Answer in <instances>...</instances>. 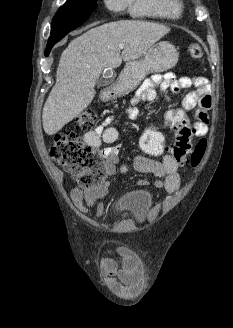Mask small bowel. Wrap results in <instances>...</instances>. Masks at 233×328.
I'll return each instance as SVG.
<instances>
[{"label": "small bowel", "instance_id": "c3829d8e", "mask_svg": "<svg viewBox=\"0 0 233 328\" xmlns=\"http://www.w3.org/2000/svg\"><path fill=\"white\" fill-rule=\"evenodd\" d=\"M195 87L183 99L185 110L196 108L195 119L192 123L193 134L202 137L208 132V110L212 106L210 85L202 76L176 77L174 73L156 74L147 79L137 90L131 100L132 106L126 110L128 117L137 120L140 112L136 107L142 102H151L157 97V90H170L177 93L182 89ZM113 117H106L101 124L84 135V141L91 147L98 149L102 143L109 145L102 150L105 158V171L107 175L115 173L118 162L119 146L114 145L118 139V131L112 124ZM134 167L142 173L152 174L158 179L154 182L156 188L165 189L168 193H175L180 186L179 164L170 154H165L161 161L151 159L146 155L135 158ZM121 172H126V167L121 166ZM140 186L148 185V181L139 180ZM108 182L94 187L81 189L75 187L70 196L74 205L82 212H89L96 208L97 215L103 213L102 199L108 191ZM105 273V284L115 294L123 298H131L138 295L143 286V270L139 258L128 249H119L116 256L104 257L101 261Z\"/></svg>", "mask_w": 233, "mask_h": 328}]
</instances>
